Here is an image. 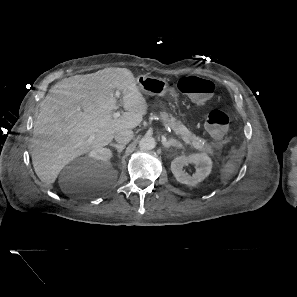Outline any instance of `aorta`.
Segmentation results:
<instances>
[{
	"label": "aorta",
	"instance_id": "1",
	"mask_svg": "<svg viewBox=\"0 0 297 297\" xmlns=\"http://www.w3.org/2000/svg\"><path fill=\"white\" fill-rule=\"evenodd\" d=\"M138 145L141 150H152L156 146V141H155L154 137H152V136H144L139 141Z\"/></svg>",
	"mask_w": 297,
	"mask_h": 297
}]
</instances>
